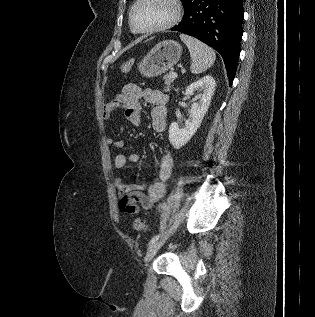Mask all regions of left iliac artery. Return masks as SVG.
<instances>
[{"label":"left iliac artery","mask_w":315,"mask_h":317,"mask_svg":"<svg viewBox=\"0 0 315 317\" xmlns=\"http://www.w3.org/2000/svg\"><path fill=\"white\" fill-rule=\"evenodd\" d=\"M161 204H159V208H161ZM159 235H155L149 242V245H151L152 243H154L155 241H157L159 239Z\"/></svg>","instance_id":"44dca946"}]
</instances>
